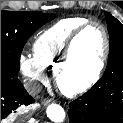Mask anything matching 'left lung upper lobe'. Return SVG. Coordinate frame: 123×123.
<instances>
[{
  "label": "left lung upper lobe",
  "mask_w": 123,
  "mask_h": 123,
  "mask_svg": "<svg viewBox=\"0 0 123 123\" xmlns=\"http://www.w3.org/2000/svg\"><path fill=\"white\" fill-rule=\"evenodd\" d=\"M110 37L108 65L99 83L109 85L123 78V25L110 13L105 12Z\"/></svg>",
  "instance_id": "obj_1"
}]
</instances>
